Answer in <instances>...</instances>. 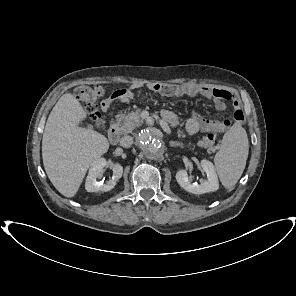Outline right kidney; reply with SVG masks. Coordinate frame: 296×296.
Returning <instances> with one entry per match:
<instances>
[{
  "instance_id": "right-kidney-1",
  "label": "right kidney",
  "mask_w": 296,
  "mask_h": 296,
  "mask_svg": "<svg viewBox=\"0 0 296 296\" xmlns=\"http://www.w3.org/2000/svg\"><path fill=\"white\" fill-rule=\"evenodd\" d=\"M107 165L108 162L104 158H99L92 164L85 183V189L87 192H107L115 187L117 181L122 177L123 174V167L120 164L111 165L113 176L107 183L97 181L104 167Z\"/></svg>"
}]
</instances>
